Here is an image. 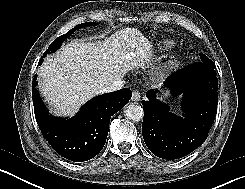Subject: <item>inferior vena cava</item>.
<instances>
[{"instance_id":"602c4592","label":"inferior vena cava","mask_w":245,"mask_h":189,"mask_svg":"<svg viewBox=\"0 0 245 189\" xmlns=\"http://www.w3.org/2000/svg\"><path fill=\"white\" fill-rule=\"evenodd\" d=\"M124 83H125L124 80H121V79L115 80L109 86L105 87L102 90V93L113 92V91L119 90L124 86Z\"/></svg>"}]
</instances>
